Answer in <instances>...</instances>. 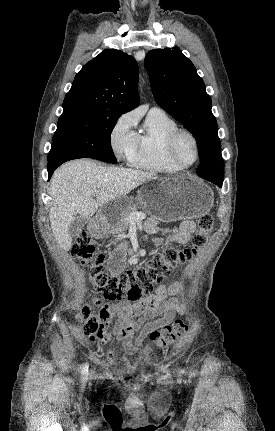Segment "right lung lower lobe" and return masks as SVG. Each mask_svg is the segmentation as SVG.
Returning <instances> with one entry per match:
<instances>
[{
  "label": "right lung lower lobe",
  "instance_id": "obj_1",
  "mask_svg": "<svg viewBox=\"0 0 275 431\" xmlns=\"http://www.w3.org/2000/svg\"><path fill=\"white\" fill-rule=\"evenodd\" d=\"M72 159H77V158H66V159H62V160H57V161H52V162H48V166H47V170H48V175H49V179L52 176L54 170L60 166L62 163L68 161V160H72Z\"/></svg>",
  "mask_w": 275,
  "mask_h": 431
}]
</instances>
